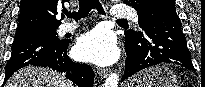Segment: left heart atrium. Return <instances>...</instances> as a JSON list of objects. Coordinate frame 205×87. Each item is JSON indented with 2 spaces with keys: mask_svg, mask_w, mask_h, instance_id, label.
Segmentation results:
<instances>
[{
  "mask_svg": "<svg viewBox=\"0 0 205 87\" xmlns=\"http://www.w3.org/2000/svg\"><path fill=\"white\" fill-rule=\"evenodd\" d=\"M75 54L80 60L105 66L117 59L118 48L112 33L103 29H94L79 39Z\"/></svg>",
  "mask_w": 205,
  "mask_h": 87,
  "instance_id": "1",
  "label": "left heart atrium"
}]
</instances>
